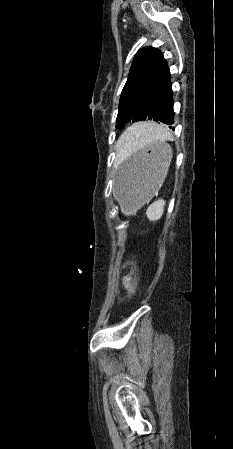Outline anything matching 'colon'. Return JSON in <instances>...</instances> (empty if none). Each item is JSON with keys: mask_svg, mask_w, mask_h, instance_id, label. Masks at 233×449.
<instances>
[{"mask_svg": "<svg viewBox=\"0 0 233 449\" xmlns=\"http://www.w3.org/2000/svg\"><path fill=\"white\" fill-rule=\"evenodd\" d=\"M122 284L129 293L131 297H133L136 293V286L134 282V278L132 274H127L122 277Z\"/></svg>", "mask_w": 233, "mask_h": 449, "instance_id": "1", "label": "colon"}]
</instances>
